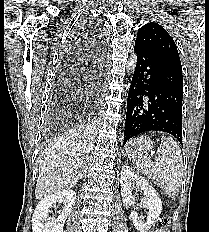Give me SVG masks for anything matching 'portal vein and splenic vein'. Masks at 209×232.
Instances as JSON below:
<instances>
[{"instance_id": "1", "label": "portal vein and splenic vein", "mask_w": 209, "mask_h": 232, "mask_svg": "<svg viewBox=\"0 0 209 232\" xmlns=\"http://www.w3.org/2000/svg\"><path fill=\"white\" fill-rule=\"evenodd\" d=\"M156 160H157V161H159V160H160V158L158 157V158H156Z\"/></svg>"}]
</instances>
